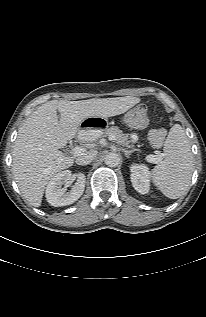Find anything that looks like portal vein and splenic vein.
Listing matches in <instances>:
<instances>
[{
    "instance_id": "1",
    "label": "portal vein and splenic vein",
    "mask_w": 206,
    "mask_h": 317,
    "mask_svg": "<svg viewBox=\"0 0 206 317\" xmlns=\"http://www.w3.org/2000/svg\"><path fill=\"white\" fill-rule=\"evenodd\" d=\"M109 140L113 141L114 140V136L113 135L109 136ZM83 152H84V148L79 147V146H77V147H75L73 149L74 156H79ZM162 157H163V154L159 153V154H156V155H148L146 159L150 163H157V162H159L162 159Z\"/></svg>"
}]
</instances>
